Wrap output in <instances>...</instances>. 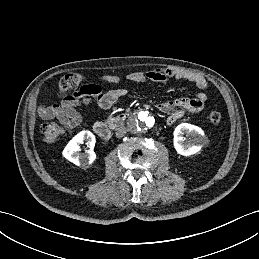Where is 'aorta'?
Segmentation results:
<instances>
[{
  "instance_id": "762f6f07",
  "label": "aorta",
  "mask_w": 259,
  "mask_h": 259,
  "mask_svg": "<svg viewBox=\"0 0 259 259\" xmlns=\"http://www.w3.org/2000/svg\"><path fill=\"white\" fill-rule=\"evenodd\" d=\"M155 119L149 111H140L133 115L129 125L134 132H143L153 127Z\"/></svg>"
}]
</instances>
